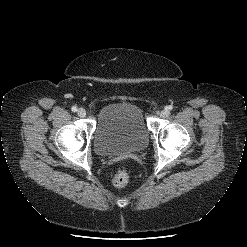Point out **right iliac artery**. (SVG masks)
I'll return each mask as SVG.
<instances>
[{
  "label": "right iliac artery",
  "instance_id": "1",
  "mask_svg": "<svg viewBox=\"0 0 247 247\" xmlns=\"http://www.w3.org/2000/svg\"><path fill=\"white\" fill-rule=\"evenodd\" d=\"M71 110H72L73 112H76V111H77V107H76V106H73V107L71 108Z\"/></svg>",
  "mask_w": 247,
  "mask_h": 247
}]
</instances>
